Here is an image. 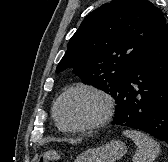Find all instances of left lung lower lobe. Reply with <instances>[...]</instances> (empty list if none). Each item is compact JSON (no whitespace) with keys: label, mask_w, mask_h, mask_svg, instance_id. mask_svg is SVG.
<instances>
[{"label":"left lung lower lobe","mask_w":168,"mask_h":162,"mask_svg":"<svg viewBox=\"0 0 168 162\" xmlns=\"http://www.w3.org/2000/svg\"><path fill=\"white\" fill-rule=\"evenodd\" d=\"M112 124L147 132L168 143V24L133 64L113 96Z\"/></svg>","instance_id":"0a47b994"}]
</instances>
